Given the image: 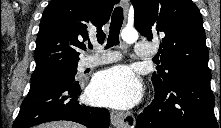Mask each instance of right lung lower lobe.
I'll use <instances>...</instances> for the list:
<instances>
[{
  "instance_id": "obj_1",
  "label": "right lung lower lobe",
  "mask_w": 221,
  "mask_h": 128,
  "mask_svg": "<svg viewBox=\"0 0 221 128\" xmlns=\"http://www.w3.org/2000/svg\"><path fill=\"white\" fill-rule=\"evenodd\" d=\"M80 91L75 79L49 77L31 84L13 128H29L56 120H70L88 128H108L109 111L80 104Z\"/></svg>"
}]
</instances>
